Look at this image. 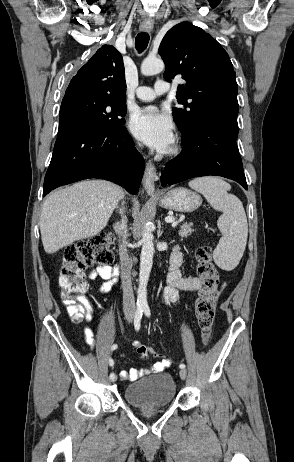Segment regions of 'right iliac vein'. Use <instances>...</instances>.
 Instances as JSON below:
<instances>
[{"mask_svg": "<svg viewBox=\"0 0 294 462\" xmlns=\"http://www.w3.org/2000/svg\"><path fill=\"white\" fill-rule=\"evenodd\" d=\"M127 320H128L129 322H131L132 318L129 316V317H127ZM116 379H117V378L115 377V378H114V379H112L111 381H112V382H115V381H116Z\"/></svg>", "mask_w": 294, "mask_h": 462, "instance_id": "right-iliac-vein-1", "label": "right iliac vein"}]
</instances>
